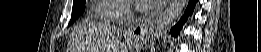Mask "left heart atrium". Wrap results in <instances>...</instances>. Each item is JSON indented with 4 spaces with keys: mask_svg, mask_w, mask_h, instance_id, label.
I'll use <instances>...</instances> for the list:
<instances>
[{
    "mask_svg": "<svg viewBox=\"0 0 261 52\" xmlns=\"http://www.w3.org/2000/svg\"><path fill=\"white\" fill-rule=\"evenodd\" d=\"M137 9L147 10L152 9L158 3L157 0H133L132 1Z\"/></svg>",
    "mask_w": 261,
    "mask_h": 52,
    "instance_id": "1",
    "label": "left heart atrium"
}]
</instances>
